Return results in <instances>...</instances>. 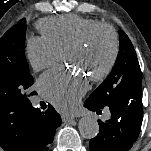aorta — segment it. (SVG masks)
Masks as SVG:
<instances>
[{"label": "aorta", "mask_w": 151, "mask_h": 151, "mask_svg": "<svg viewBox=\"0 0 151 151\" xmlns=\"http://www.w3.org/2000/svg\"><path fill=\"white\" fill-rule=\"evenodd\" d=\"M80 135L85 139H92L99 133V124L94 117H83L79 121Z\"/></svg>", "instance_id": "762f6f07"}]
</instances>
